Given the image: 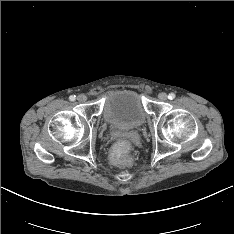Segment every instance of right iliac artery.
Here are the masks:
<instances>
[{
	"label": "right iliac artery",
	"instance_id": "obj_1",
	"mask_svg": "<svg viewBox=\"0 0 234 234\" xmlns=\"http://www.w3.org/2000/svg\"><path fill=\"white\" fill-rule=\"evenodd\" d=\"M69 100H70V101H75V100H76V96H75V95H71V96L69 97Z\"/></svg>",
	"mask_w": 234,
	"mask_h": 234
}]
</instances>
